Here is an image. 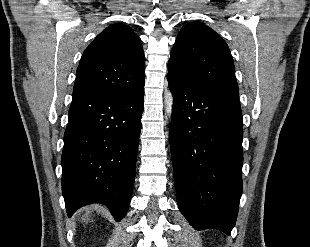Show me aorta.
Wrapping results in <instances>:
<instances>
[{
	"mask_svg": "<svg viewBox=\"0 0 310 247\" xmlns=\"http://www.w3.org/2000/svg\"><path fill=\"white\" fill-rule=\"evenodd\" d=\"M165 111L166 114L170 117L172 114L173 108V96L170 91H167L164 95Z\"/></svg>",
	"mask_w": 310,
	"mask_h": 247,
	"instance_id": "762f6f07",
	"label": "aorta"
}]
</instances>
